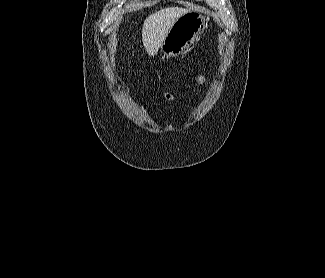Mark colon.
I'll return each mask as SVG.
<instances>
[{"instance_id": "colon-1", "label": "colon", "mask_w": 325, "mask_h": 278, "mask_svg": "<svg viewBox=\"0 0 325 278\" xmlns=\"http://www.w3.org/2000/svg\"><path fill=\"white\" fill-rule=\"evenodd\" d=\"M203 83V78L202 77H197L196 78V84H202ZM167 97H170L169 94H167Z\"/></svg>"}]
</instances>
